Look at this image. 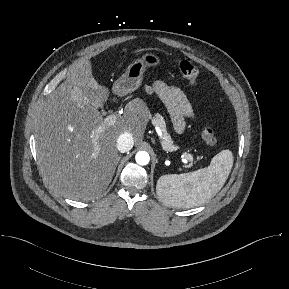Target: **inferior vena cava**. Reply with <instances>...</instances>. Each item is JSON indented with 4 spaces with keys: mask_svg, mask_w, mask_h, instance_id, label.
<instances>
[{
    "mask_svg": "<svg viewBox=\"0 0 289 289\" xmlns=\"http://www.w3.org/2000/svg\"><path fill=\"white\" fill-rule=\"evenodd\" d=\"M134 144L133 137L130 133L124 132L117 139V149L121 153H125L132 149Z\"/></svg>",
    "mask_w": 289,
    "mask_h": 289,
    "instance_id": "1",
    "label": "inferior vena cava"
}]
</instances>
